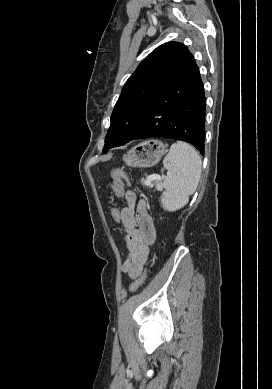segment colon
<instances>
[{
    "instance_id": "colon-1",
    "label": "colon",
    "mask_w": 272,
    "mask_h": 389,
    "mask_svg": "<svg viewBox=\"0 0 272 389\" xmlns=\"http://www.w3.org/2000/svg\"><path fill=\"white\" fill-rule=\"evenodd\" d=\"M112 190L117 197H121L124 194L125 183L128 182L126 174L121 169H113L111 171ZM111 216L117 223L121 221V210L118 207H113L111 210ZM146 274L143 273L137 278L131 285V291L136 292L139 290L145 282Z\"/></svg>"
}]
</instances>
